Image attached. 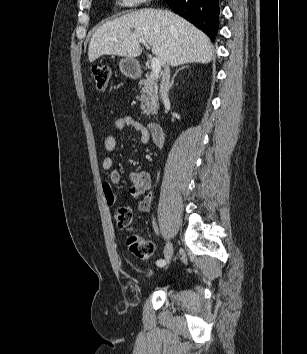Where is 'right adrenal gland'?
Masks as SVG:
<instances>
[{"label":"right adrenal gland","instance_id":"right-adrenal-gland-1","mask_svg":"<svg viewBox=\"0 0 307 354\" xmlns=\"http://www.w3.org/2000/svg\"><path fill=\"white\" fill-rule=\"evenodd\" d=\"M184 68H188V66L181 67V68H179V69L175 72V74L173 75V77H172V79H171L170 88H172V86H173V84H174V79H175L177 73H178L180 70L184 69Z\"/></svg>","mask_w":307,"mask_h":354}]
</instances>
